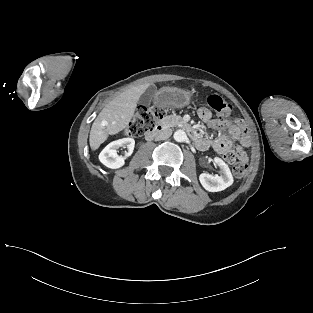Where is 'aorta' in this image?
I'll return each instance as SVG.
<instances>
[{
	"instance_id": "1",
	"label": "aorta",
	"mask_w": 313,
	"mask_h": 313,
	"mask_svg": "<svg viewBox=\"0 0 313 313\" xmlns=\"http://www.w3.org/2000/svg\"><path fill=\"white\" fill-rule=\"evenodd\" d=\"M173 137L177 142H184L187 139V135L183 130H176Z\"/></svg>"
}]
</instances>
